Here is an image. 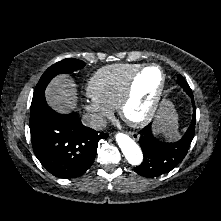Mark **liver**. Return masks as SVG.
I'll list each match as a JSON object with an SVG mask.
<instances>
[{"mask_svg": "<svg viewBox=\"0 0 221 221\" xmlns=\"http://www.w3.org/2000/svg\"><path fill=\"white\" fill-rule=\"evenodd\" d=\"M48 104L59 113H69L77 103L76 84L67 75H59L52 79L45 91ZM159 115L165 128L170 132L177 129V114L170 102L161 104Z\"/></svg>", "mask_w": 221, "mask_h": 221, "instance_id": "obj_1", "label": "liver"}]
</instances>
